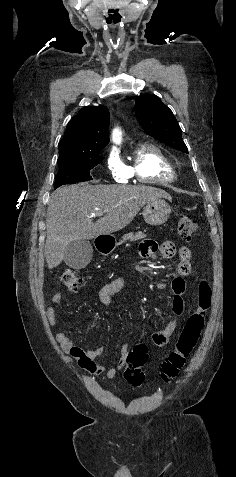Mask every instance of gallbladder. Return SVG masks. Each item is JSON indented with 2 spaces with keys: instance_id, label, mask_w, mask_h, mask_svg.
<instances>
[{
  "instance_id": "obj_1",
  "label": "gallbladder",
  "mask_w": 236,
  "mask_h": 477,
  "mask_svg": "<svg viewBox=\"0 0 236 477\" xmlns=\"http://www.w3.org/2000/svg\"><path fill=\"white\" fill-rule=\"evenodd\" d=\"M92 253L93 249L88 240H76L67 245L64 251V262L70 268L82 269L89 264Z\"/></svg>"
}]
</instances>
